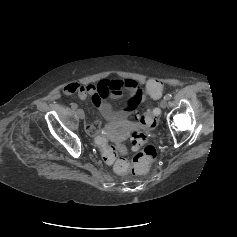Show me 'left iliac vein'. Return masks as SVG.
Instances as JSON below:
<instances>
[{
	"mask_svg": "<svg viewBox=\"0 0 237 237\" xmlns=\"http://www.w3.org/2000/svg\"><path fill=\"white\" fill-rule=\"evenodd\" d=\"M167 105H168V100L165 99V98L162 99L161 102H160V107L164 109V108L167 107Z\"/></svg>",
	"mask_w": 237,
	"mask_h": 237,
	"instance_id": "4c4485c4",
	"label": "left iliac vein"
}]
</instances>
